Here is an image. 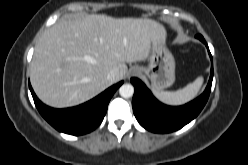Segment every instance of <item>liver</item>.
I'll use <instances>...</instances> for the list:
<instances>
[{"label":"liver","instance_id":"1","mask_svg":"<svg viewBox=\"0 0 248 165\" xmlns=\"http://www.w3.org/2000/svg\"><path fill=\"white\" fill-rule=\"evenodd\" d=\"M164 26L143 18H113L90 14L61 19L35 46L30 79L38 98L51 107L82 104L120 81L126 63L145 60L154 40L164 38ZM115 71V82L107 79Z\"/></svg>","mask_w":248,"mask_h":165}]
</instances>
